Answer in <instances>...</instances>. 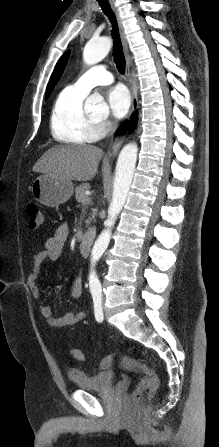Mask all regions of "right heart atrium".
Wrapping results in <instances>:
<instances>
[{
  "label": "right heart atrium",
  "instance_id": "1",
  "mask_svg": "<svg viewBox=\"0 0 219 447\" xmlns=\"http://www.w3.org/2000/svg\"><path fill=\"white\" fill-rule=\"evenodd\" d=\"M97 126L99 131L101 132V135L111 130V124L108 122H100Z\"/></svg>",
  "mask_w": 219,
  "mask_h": 447
}]
</instances>
